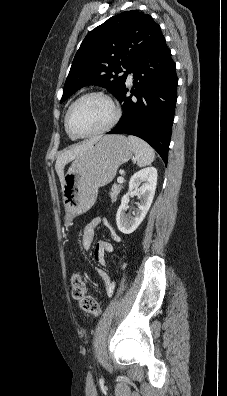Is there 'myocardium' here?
Returning a JSON list of instances; mask_svg holds the SVG:
<instances>
[{
	"label": "myocardium",
	"instance_id": "f54148a6",
	"mask_svg": "<svg viewBox=\"0 0 227 396\" xmlns=\"http://www.w3.org/2000/svg\"><path fill=\"white\" fill-rule=\"evenodd\" d=\"M93 96H97V97H101V98L105 99L112 108L113 116H112L111 120L105 126L101 127L98 130H95L93 132L86 133V134L76 133L70 125V116H71L72 110L80 101H82L85 98L93 97ZM121 114H122V112H121L119 105L115 102V100L109 94H107L103 91H88V92H85L82 95H80L78 98H76L68 107V110L65 115V127H66L67 132L74 138L80 139V138L94 137V136L101 135V134L106 133L109 130H111L119 122V120L121 118Z\"/></svg>",
	"mask_w": 227,
	"mask_h": 396
}]
</instances>
